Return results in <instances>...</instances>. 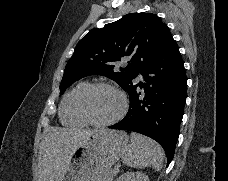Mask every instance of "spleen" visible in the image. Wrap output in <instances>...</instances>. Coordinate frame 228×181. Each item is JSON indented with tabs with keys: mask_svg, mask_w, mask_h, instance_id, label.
I'll list each match as a JSON object with an SVG mask.
<instances>
[{
	"mask_svg": "<svg viewBox=\"0 0 228 181\" xmlns=\"http://www.w3.org/2000/svg\"><path fill=\"white\" fill-rule=\"evenodd\" d=\"M130 145L125 147L122 153V163L132 169H144L153 167L155 171H161L164 163V151L156 141L149 137L131 133Z\"/></svg>",
	"mask_w": 228,
	"mask_h": 181,
	"instance_id": "1",
	"label": "spleen"
}]
</instances>
